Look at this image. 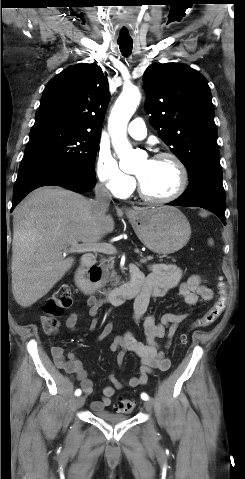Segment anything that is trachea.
Listing matches in <instances>:
<instances>
[{
  "label": "trachea",
  "instance_id": "obj_1",
  "mask_svg": "<svg viewBox=\"0 0 245 479\" xmlns=\"http://www.w3.org/2000/svg\"><path fill=\"white\" fill-rule=\"evenodd\" d=\"M117 43L119 45V49H120L121 53L124 56H129L131 51H132L133 41L132 40H127V41L118 40Z\"/></svg>",
  "mask_w": 245,
  "mask_h": 479
}]
</instances>
